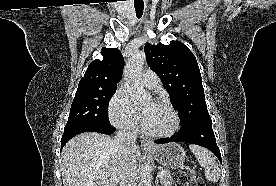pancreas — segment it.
I'll return each instance as SVG.
<instances>
[{
    "instance_id": "1",
    "label": "pancreas",
    "mask_w": 276,
    "mask_h": 186,
    "mask_svg": "<svg viewBox=\"0 0 276 186\" xmlns=\"http://www.w3.org/2000/svg\"><path fill=\"white\" fill-rule=\"evenodd\" d=\"M165 175L161 178V185L162 186H172V177L171 172L169 170H162Z\"/></svg>"
}]
</instances>
